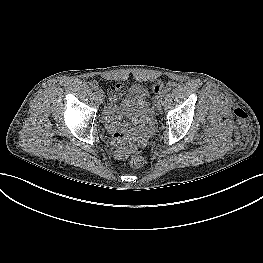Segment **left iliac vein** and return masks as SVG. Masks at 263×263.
<instances>
[{"instance_id":"4c4485c4","label":"left iliac vein","mask_w":263,"mask_h":263,"mask_svg":"<svg viewBox=\"0 0 263 263\" xmlns=\"http://www.w3.org/2000/svg\"><path fill=\"white\" fill-rule=\"evenodd\" d=\"M162 101V98L160 96H157L155 99H154V102L156 104H159L160 102Z\"/></svg>"}]
</instances>
